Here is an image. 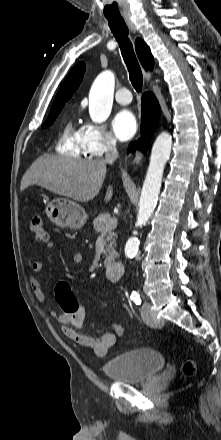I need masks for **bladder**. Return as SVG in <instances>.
Segmentation results:
<instances>
[{
	"instance_id": "31cf9c89",
	"label": "bladder",
	"mask_w": 221,
	"mask_h": 440,
	"mask_svg": "<svg viewBox=\"0 0 221 440\" xmlns=\"http://www.w3.org/2000/svg\"><path fill=\"white\" fill-rule=\"evenodd\" d=\"M165 358L151 348L135 349L104 362L102 370L106 377L117 383L145 382L164 366Z\"/></svg>"
}]
</instances>
